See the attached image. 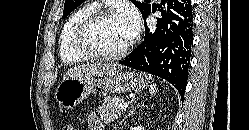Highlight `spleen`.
<instances>
[{"label": "spleen", "instance_id": "spleen-1", "mask_svg": "<svg viewBox=\"0 0 249 130\" xmlns=\"http://www.w3.org/2000/svg\"><path fill=\"white\" fill-rule=\"evenodd\" d=\"M148 79L150 80V79H152V77L148 76ZM149 92H150L151 95H153V94H155L157 92L156 84H153V85L150 86Z\"/></svg>", "mask_w": 249, "mask_h": 130}]
</instances>
